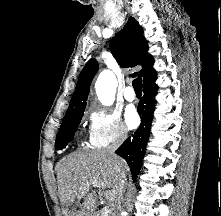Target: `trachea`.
Returning <instances> with one entry per match:
<instances>
[{
  "label": "trachea",
  "instance_id": "obj_1",
  "mask_svg": "<svg viewBox=\"0 0 221 216\" xmlns=\"http://www.w3.org/2000/svg\"><path fill=\"white\" fill-rule=\"evenodd\" d=\"M132 85L136 93H142V79L141 78L134 79Z\"/></svg>",
  "mask_w": 221,
  "mask_h": 216
}]
</instances>
